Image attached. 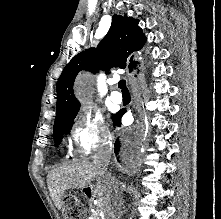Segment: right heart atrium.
I'll list each match as a JSON object with an SVG mask.
<instances>
[{
	"label": "right heart atrium",
	"mask_w": 221,
	"mask_h": 219,
	"mask_svg": "<svg viewBox=\"0 0 221 219\" xmlns=\"http://www.w3.org/2000/svg\"><path fill=\"white\" fill-rule=\"evenodd\" d=\"M110 137L103 115L98 111L83 108L72 129V140L77 150L87 155L107 143Z\"/></svg>",
	"instance_id": "obj_1"
}]
</instances>
